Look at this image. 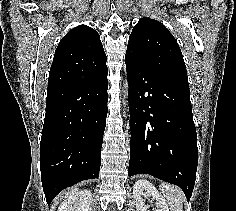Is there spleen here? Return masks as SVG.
Masks as SVG:
<instances>
[{
  "instance_id": "1",
  "label": "spleen",
  "mask_w": 236,
  "mask_h": 211,
  "mask_svg": "<svg viewBox=\"0 0 236 211\" xmlns=\"http://www.w3.org/2000/svg\"><path fill=\"white\" fill-rule=\"evenodd\" d=\"M160 190L163 196L166 198L171 211H183V202L185 200V196L180 188L162 183Z\"/></svg>"
}]
</instances>
